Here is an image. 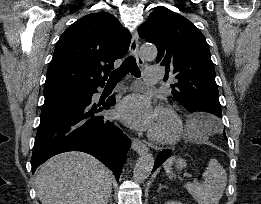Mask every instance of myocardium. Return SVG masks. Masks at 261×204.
<instances>
[{"label": "myocardium", "instance_id": "1", "mask_svg": "<svg viewBox=\"0 0 261 204\" xmlns=\"http://www.w3.org/2000/svg\"><path fill=\"white\" fill-rule=\"evenodd\" d=\"M157 112L166 115L170 119L172 123V129L166 134H157L150 130L148 137L153 142L158 144H170L177 141L183 132V122L180 115L174 108L168 105L159 106Z\"/></svg>", "mask_w": 261, "mask_h": 204}]
</instances>
